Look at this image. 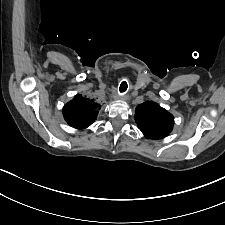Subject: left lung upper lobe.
<instances>
[{
    "label": "left lung upper lobe",
    "instance_id": "1",
    "mask_svg": "<svg viewBox=\"0 0 225 225\" xmlns=\"http://www.w3.org/2000/svg\"><path fill=\"white\" fill-rule=\"evenodd\" d=\"M134 117L138 128L150 139H162L173 129V115L152 101L138 105Z\"/></svg>",
    "mask_w": 225,
    "mask_h": 225
}]
</instances>
